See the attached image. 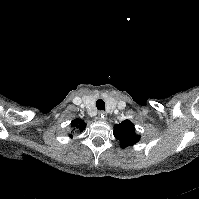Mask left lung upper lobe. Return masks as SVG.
I'll return each mask as SVG.
<instances>
[{
  "instance_id": "obj_1",
  "label": "left lung upper lobe",
  "mask_w": 199,
  "mask_h": 199,
  "mask_svg": "<svg viewBox=\"0 0 199 199\" xmlns=\"http://www.w3.org/2000/svg\"><path fill=\"white\" fill-rule=\"evenodd\" d=\"M114 136L120 141L122 148L132 146L140 139V136L135 133L134 124L129 120H124L114 126Z\"/></svg>"
}]
</instances>
